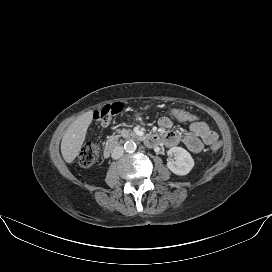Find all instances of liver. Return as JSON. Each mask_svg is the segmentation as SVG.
I'll return each instance as SVG.
<instances>
[{"mask_svg":"<svg viewBox=\"0 0 272 272\" xmlns=\"http://www.w3.org/2000/svg\"><path fill=\"white\" fill-rule=\"evenodd\" d=\"M91 121L92 113L87 112L77 118L64 133L61 141V153L67 163L73 162L78 156Z\"/></svg>","mask_w":272,"mask_h":272,"instance_id":"obj_1","label":"liver"}]
</instances>
